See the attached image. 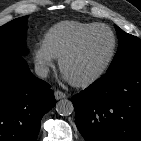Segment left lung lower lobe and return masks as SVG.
<instances>
[{"instance_id": "0a47b994", "label": "left lung lower lobe", "mask_w": 141, "mask_h": 141, "mask_svg": "<svg viewBox=\"0 0 141 141\" xmlns=\"http://www.w3.org/2000/svg\"><path fill=\"white\" fill-rule=\"evenodd\" d=\"M72 102L75 123L86 141H139L141 63L106 73Z\"/></svg>"}]
</instances>
